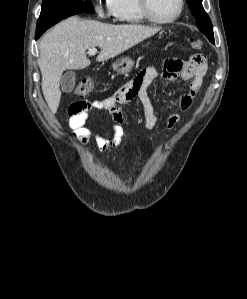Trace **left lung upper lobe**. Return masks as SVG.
Instances as JSON below:
<instances>
[{
	"instance_id": "5c2ea615",
	"label": "left lung upper lobe",
	"mask_w": 247,
	"mask_h": 299,
	"mask_svg": "<svg viewBox=\"0 0 247 299\" xmlns=\"http://www.w3.org/2000/svg\"><path fill=\"white\" fill-rule=\"evenodd\" d=\"M187 3L197 21L199 30L207 36L211 43H214L212 23L202 6V0H187Z\"/></svg>"
}]
</instances>
